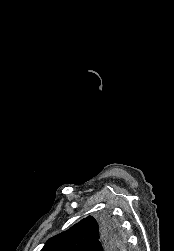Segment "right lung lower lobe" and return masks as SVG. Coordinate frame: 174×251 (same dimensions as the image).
<instances>
[{"label":"right lung lower lobe","instance_id":"98d812e1","mask_svg":"<svg viewBox=\"0 0 174 251\" xmlns=\"http://www.w3.org/2000/svg\"><path fill=\"white\" fill-rule=\"evenodd\" d=\"M101 238L93 249V251H118L122 248L121 238L117 227L108 219L101 221ZM115 242L121 243V248L118 250L112 249V246Z\"/></svg>","mask_w":174,"mask_h":251}]
</instances>
